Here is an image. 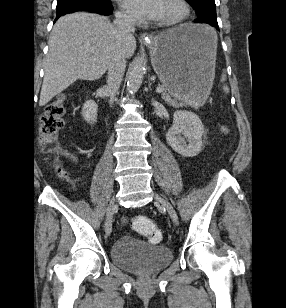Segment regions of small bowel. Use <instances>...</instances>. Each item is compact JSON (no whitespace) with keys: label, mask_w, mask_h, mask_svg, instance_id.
Here are the masks:
<instances>
[{"label":"small bowel","mask_w":286,"mask_h":308,"mask_svg":"<svg viewBox=\"0 0 286 308\" xmlns=\"http://www.w3.org/2000/svg\"><path fill=\"white\" fill-rule=\"evenodd\" d=\"M76 182H77V179H75V180L73 181L72 185L75 186V185H76Z\"/></svg>","instance_id":"obj_1"}]
</instances>
